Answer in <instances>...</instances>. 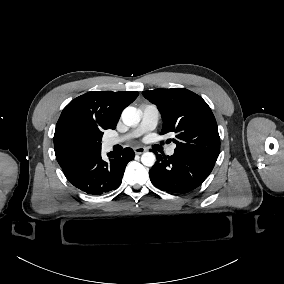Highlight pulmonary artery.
<instances>
[{"label": "pulmonary artery", "mask_w": 284, "mask_h": 284, "mask_svg": "<svg viewBox=\"0 0 284 284\" xmlns=\"http://www.w3.org/2000/svg\"><path fill=\"white\" fill-rule=\"evenodd\" d=\"M141 120L140 123L134 127L129 133L121 137H109L104 140V145L113 146L126 140H130L140 135L153 130L159 119V110L153 104H142L140 107ZM174 148L168 150V154H173Z\"/></svg>", "instance_id": "1"}]
</instances>
